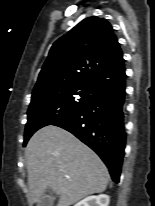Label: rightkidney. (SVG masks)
<instances>
[{
  "mask_svg": "<svg viewBox=\"0 0 155 206\" xmlns=\"http://www.w3.org/2000/svg\"><path fill=\"white\" fill-rule=\"evenodd\" d=\"M110 197L105 194L97 196H89L82 201L76 203L74 206H108Z\"/></svg>",
  "mask_w": 155,
  "mask_h": 206,
  "instance_id": "1",
  "label": "right kidney"
}]
</instances>
